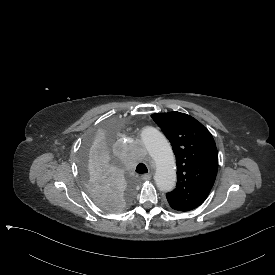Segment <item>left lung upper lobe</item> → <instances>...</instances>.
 Segmentation results:
<instances>
[{
  "label": "left lung upper lobe",
  "mask_w": 275,
  "mask_h": 275,
  "mask_svg": "<svg viewBox=\"0 0 275 275\" xmlns=\"http://www.w3.org/2000/svg\"><path fill=\"white\" fill-rule=\"evenodd\" d=\"M151 117L169 139L177 161V185L166 194L168 203L178 211L195 209L207 198L217 175L213 136L184 113H155Z\"/></svg>",
  "instance_id": "5c2ea615"
}]
</instances>
